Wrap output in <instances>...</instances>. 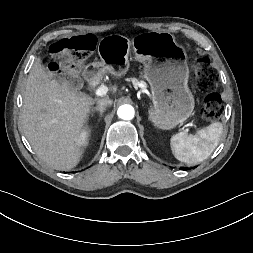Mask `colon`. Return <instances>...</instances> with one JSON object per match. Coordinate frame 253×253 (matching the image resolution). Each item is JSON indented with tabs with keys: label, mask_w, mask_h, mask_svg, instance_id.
Segmentation results:
<instances>
[{
	"label": "colon",
	"mask_w": 253,
	"mask_h": 253,
	"mask_svg": "<svg viewBox=\"0 0 253 253\" xmlns=\"http://www.w3.org/2000/svg\"><path fill=\"white\" fill-rule=\"evenodd\" d=\"M95 40L92 36H78L62 40L51 47L53 70L62 67L68 69L72 64L82 63L94 50ZM189 66L193 72L197 86L200 90L208 93L204 100L203 116L207 121L218 120L223 112L220 96L214 92L218 76L210 67L207 58L191 56Z\"/></svg>",
	"instance_id": "obj_1"
}]
</instances>
